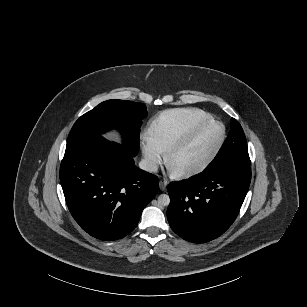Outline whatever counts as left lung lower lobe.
Listing matches in <instances>:
<instances>
[{"instance_id": "left-lung-lower-lobe-1", "label": "left lung lower lobe", "mask_w": 307, "mask_h": 307, "mask_svg": "<svg viewBox=\"0 0 307 307\" xmlns=\"http://www.w3.org/2000/svg\"><path fill=\"white\" fill-rule=\"evenodd\" d=\"M250 181V166L227 164L186 181L170 183V227L194 243L219 237L236 219Z\"/></svg>"}]
</instances>
